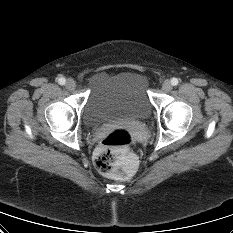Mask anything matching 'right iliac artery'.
<instances>
[{"label":"right iliac artery","instance_id":"right-iliac-artery-1","mask_svg":"<svg viewBox=\"0 0 233 233\" xmlns=\"http://www.w3.org/2000/svg\"><path fill=\"white\" fill-rule=\"evenodd\" d=\"M65 82H66V79H65L64 77H60V78L58 79V83H59L60 85H64Z\"/></svg>","mask_w":233,"mask_h":233}]
</instances>
